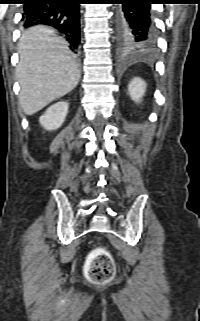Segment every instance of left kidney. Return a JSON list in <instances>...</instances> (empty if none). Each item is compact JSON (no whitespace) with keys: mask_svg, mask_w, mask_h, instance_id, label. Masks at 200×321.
Here are the masks:
<instances>
[{"mask_svg":"<svg viewBox=\"0 0 200 321\" xmlns=\"http://www.w3.org/2000/svg\"><path fill=\"white\" fill-rule=\"evenodd\" d=\"M146 90V82L140 77H134L128 85L130 97L136 103H140Z\"/></svg>","mask_w":200,"mask_h":321,"instance_id":"left-kidney-1","label":"left kidney"}]
</instances>
